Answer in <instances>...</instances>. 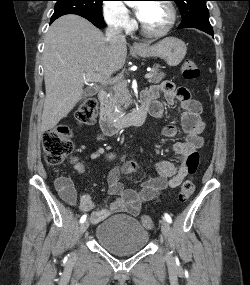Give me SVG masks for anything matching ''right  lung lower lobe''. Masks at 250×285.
<instances>
[{
	"label": "right lung lower lobe",
	"mask_w": 250,
	"mask_h": 285,
	"mask_svg": "<svg viewBox=\"0 0 250 285\" xmlns=\"http://www.w3.org/2000/svg\"><path fill=\"white\" fill-rule=\"evenodd\" d=\"M86 19L89 20L91 23H93L98 28H104L106 26L104 21H98V20H94V19H91V18H86ZM52 22H53V20H51L50 23H52Z\"/></svg>",
	"instance_id": "obj_1"
}]
</instances>
